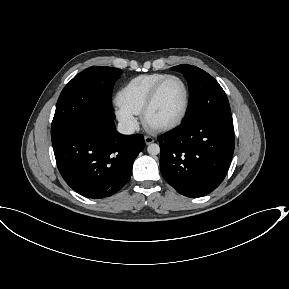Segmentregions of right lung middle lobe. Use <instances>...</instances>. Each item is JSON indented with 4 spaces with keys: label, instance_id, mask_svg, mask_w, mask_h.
Wrapping results in <instances>:
<instances>
[{
    "label": "right lung middle lobe",
    "instance_id": "right-lung-middle-lobe-1",
    "mask_svg": "<svg viewBox=\"0 0 289 289\" xmlns=\"http://www.w3.org/2000/svg\"><path fill=\"white\" fill-rule=\"evenodd\" d=\"M120 74L121 70L117 68L92 66L76 75L57 101L51 127L52 141L91 119L113 121L111 93Z\"/></svg>",
    "mask_w": 289,
    "mask_h": 289
}]
</instances>
